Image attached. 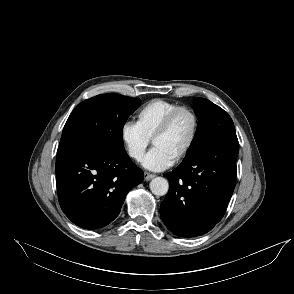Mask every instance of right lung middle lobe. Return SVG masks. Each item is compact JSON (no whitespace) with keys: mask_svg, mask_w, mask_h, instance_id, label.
Here are the masks:
<instances>
[{"mask_svg":"<svg viewBox=\"0 0 294 294\" xmlns=\"http://www.w3.org/2000/svg\"><path fill=\"white\" fill-rule=\"evenodd\" d=\"M140 103L139 98L104 94L78 104L64 126L57 156L79 147L123 146V126Z\"/></svg>","mask_w":294,"mask_h":294,"instance_id":"1","label":"right lung middle lobe"}]
</instances>
